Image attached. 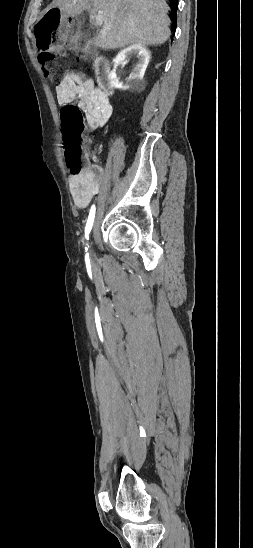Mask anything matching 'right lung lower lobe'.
<instances>
[{
  "mask_svg": "<svg viewBox=\"0 0 253 548\" xmlns=\"http://www.w3.org/2000/svg\"><path fill=\"white\" fill-rule=\"evenodd\" d=\"M170 3H171V6H172V9H173V15H172V20L175 24L174 26V30L176 28V20H177V17H176V11H177V7H178V0H169Z\"/></svg>",
  "mask_w": 253,
  "mask_h": 548,
  "instance_id": "98d812e1",
  "label": "right lung lower lobe"
}]
</instances>
